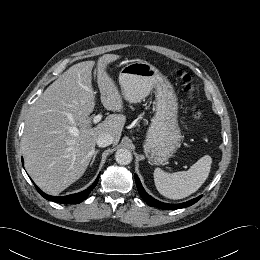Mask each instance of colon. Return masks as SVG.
I'll return each mask as SVG.
<instances>
[{
	"label": "colon",
	"instance_id": "obj_1",
	"mask_svg": "<svg viewBox=\"0 0 260 260\" xmlns=\"http://www.w3.org/2000/svg\"><path fill=\"white\" fill-rule=\"evenodd\" d=\"M177 75L183 80V82L185 83V87L188 91L192 90V83H191V77L182 72V71H178ZM195 117L199 118L200 117V112L198 110H195Z\"/></svg>",
	"mask_w": 260,
	"mask_h": 260
}]
</instances>
